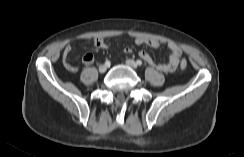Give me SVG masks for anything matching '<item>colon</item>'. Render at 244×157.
I'll list each match as a JSON object with an SVG mask.
<instances>
[{"label":"colon","mask_w":244,"mask_h":157,"mask_svg":"<svg viewBox=\"0 0 244 157\" xmlns=\"http://www.w3.org/2000/svg\"><path fill=\"white\" fill-rule=\"evenodd\" d=\"M69 56H70V55L65 56V57H69ZM64 64H65V67H66L68 70H70V71H75V70H76V67L73 66V65H71V64H69L68 61H67L66 59L64 60ZM180 67H181V69H185V68L187 67V61H186L185 59H183V60L181 61V63H180Z\"/></svg>","instance_id":"1"}]
</instances>
